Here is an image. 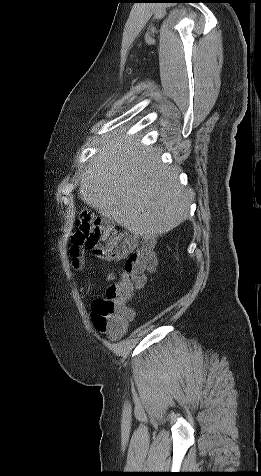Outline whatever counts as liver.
<instances>
[{"label":"liver","mask_w":261,"mask_h":476,"mask_svg":"<svg viewBox=\"0 0 261 476\" xmlns=\"http://www.w3.org/2000/svg\"><path fill=\"white\" fill-rule=\"evenodd\" d=\"M114 138L85 168L81 199L144 239L163 235L185 221L193 193L180 186L177 168L160 163L158 148L138 147L137 136L112 143Z\"/></svg>","instance_id":"1"}]
</instances>
